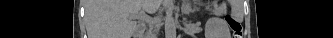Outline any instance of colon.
<instances>
[{
  "label": "colon",
  "instance_id": "obj_1",
  "mask_svg": "<svg viewBox=\"0 0 333 38\" xmlns=\"http://www.w3.org/2000/svg\"><path fill=\"white\" fill-rule=\"evenodd\" d=\"M226 22L233 32V38H242V25L240 21L232 16H226Z\"/></svg>",
  "mask_w": 333,
  "mask_h": 38
}]
</instances>
